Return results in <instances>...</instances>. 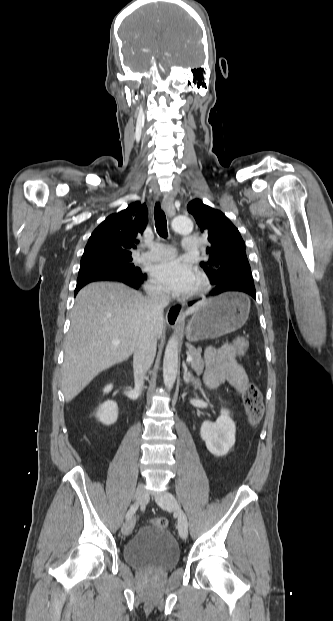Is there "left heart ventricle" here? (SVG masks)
Wrapping results in <instances>:
<instances>
[{
  "instance_id": "obj_1",
  "label": "left heart ventricle",
  "mask_w": 333,
  "mask_h": 621,
  "mask_svg": "<svg viewBox=\"0 0 333 621\" xmlns=\"http://www.w3.org/2000/svg\"><path fill=\"white\" fill-rule=\"evenodd\" d=\"M197 284H198V282H197ZM197 284H196L195 288L197 287ZM195 288H194V290H195Z\"/></svg>"
}]
</instances>
